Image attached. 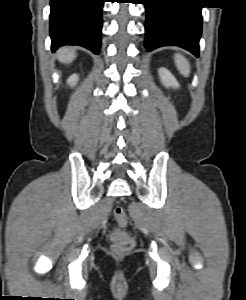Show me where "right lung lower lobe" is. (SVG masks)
<instances>
[{"instance_id": "1", "label": "right lung lower lobe", "mask_w": 246, "mask_h": 300, "mask_svg": "<svg viewBox=\"0 0 246 300\" xmlns=\"http://www.w3.org/2000/svg\"><path fill=\"white\" fill-rule=\"evenodd\" d=\"M104 0H51L52 51L62 45H80L98 54Z\"/></svg>"}]
</instances>
